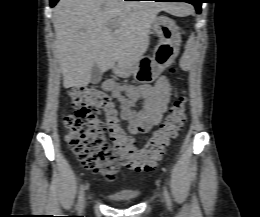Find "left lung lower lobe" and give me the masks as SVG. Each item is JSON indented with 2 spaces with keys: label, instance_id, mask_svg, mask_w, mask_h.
<instances>
[{
  "label": "left lung lower lobe",
  "instance_id": "1",
  "mask_svg": "<svg viewBox=\"0 0 260 217\" xmlns=\"http://www.w3.org/2000/svg\"><path fill=\"white\" fill-rule=\"evenodd\" d=\"M154 1L187 2L195 6L197 13H201L202 0H154Z\"/></svg>",
  "mask_w": 260,
  "mask_h": 217
}]
</instances>
